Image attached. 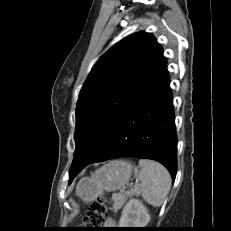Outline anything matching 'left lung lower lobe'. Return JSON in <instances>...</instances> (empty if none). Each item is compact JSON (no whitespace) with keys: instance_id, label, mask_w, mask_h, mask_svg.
I'll list each match as a JSON object with an SVG mask.
<instances>
[{"instance_id":"left-lung-lower-lobe-1","label":"left lung lower lobe","mask_w":231,"mask_h":231,"mask_svg":"<svg viewBox=\"0 0 231 231\" xmlns=\"http://www.w3.org/2000/svg\"><path fill=\"white\" fill-rule=\"evenodd\" d=\"M177 136L167 61L163 53L108 126L88 161L70 172L69 184L87 165L131 156L162 163L173 181Z\"/></svg>"}]
</instances>
